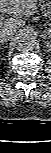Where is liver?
I'll list each match as a JSON object with an SVG mask.
<instances>
[{
  "label": "liver",
  "mask_w": 51,
  "mask_h": 153,
  "mask_svg": "<svg viewBox=\"0 0 51 153\" xmlns=\"http://www.w3.org/2000/svg\"><path fill=\"white\" fill-rule=\"evenodd\" d=\"M37 0H0V12L14 15L13 18L0 20L2 25L19 28L25 25V21L21 19L30 17L37 11Z\"/></svg>",
  "instance_id": "1"
}]
</instances>
